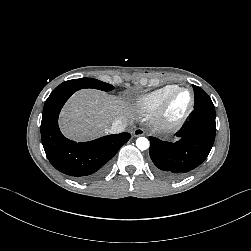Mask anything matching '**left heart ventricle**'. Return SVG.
<instances>
[{"mask_svg":"<svg viewBox=\"0 0 251 251\" xmlns=\"http://www.w3.org/2000/svg\"><path fill=\"white\" fill-rule=\"evenodd\" d=\"M189 102V95L186 92H181L177 94L169 107V115L171 117H176L178 116L184 108L187 106Z\"/></svg>","mask_w":251,"mask_h":251,"instance_id":"1","label":"left heart ventricle"}]
</instances>
